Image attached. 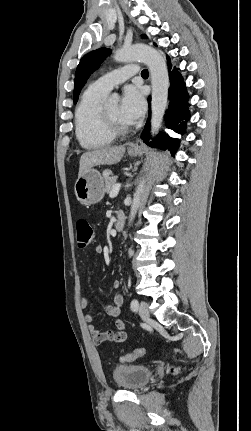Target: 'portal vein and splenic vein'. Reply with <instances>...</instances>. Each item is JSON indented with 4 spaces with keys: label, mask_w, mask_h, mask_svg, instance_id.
Returning <instances> with one entry per match:
<instances>
[{
    "label": "portal vein and splenic vein",
    "mask_w": 251,
    "mask_h": 431,
    "mask_svg": "<svg viewBox=\"0 0 251 431\" xmlns=\"http://www.w3.org/2000/svg\"><path fill=\"white\" fill-rule=\"evenodd\" d=\"M120 187H121V183H116V184L113 186V188L111 189L109 196H110L111 198L116 197V196L118 195V193H119Z\"/></svg>",
    "instance_id": "18ae733b"
}]
</instances>
